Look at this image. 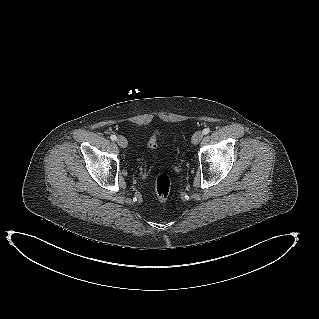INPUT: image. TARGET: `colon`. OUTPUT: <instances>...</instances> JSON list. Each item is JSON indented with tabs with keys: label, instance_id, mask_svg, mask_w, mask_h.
Listing matches in <instances>:
<instances>
[{
	"label": "colon",
	"instance_id": "colon-1",
	"mask_svg": "<svg viewBox=\"0 0 319 319\" xmlns=\"http://www.w3.org/2000/svg\"><path fill=\"white\" fill-rule=\"evenodd\" d=\"M157 132H155L149 142L148 147L155 151L158 147L157 143ZM172 186V179L170 175L165 171H160L157 173L155 177V193L159 200L164 201L169 197L170 191Z\"/></svg>",
	"mask_w": 319,
	"mask_h": 319
}]
</instances>
